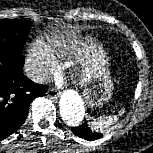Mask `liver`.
<instances>
[{
	"label": "liver",
	"instance_id": "liver-1",
	"mask_svg": "<svg viewBox=\"0 0 153 153\" xmlns=\"http://www.w3.org/2000/svg\"><path fill=\"white\" fill-rule=\"evenodd\" d=\"M66 35L72 43V45L69 46V49H71V52L74 54L75 59H79L82 62L84 50L81 47H79V43L77 41L72 39V37H76V30H67Z\"/></svg>",
	"mask_w": 153,
	"mask_h": 153
}]
</instances>
